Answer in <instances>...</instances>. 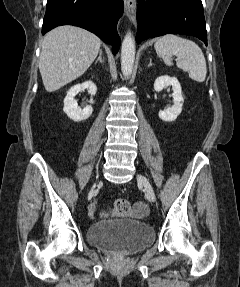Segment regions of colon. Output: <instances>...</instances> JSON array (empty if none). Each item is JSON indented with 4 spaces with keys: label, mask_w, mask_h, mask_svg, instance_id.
<instances>
[{
    "label": "colon",
    "mask_w": 240,
    "mask_h": 287,
    "mask_svg": "<svg viewBox=\"0 0 240 287\" xmlns=\"http://www.w3.org/2000/svg\"><path fill=\"white\" fill-rule=\"evenodd\" d=\"M132 213L135 216H141L143 215L142 212H134L131 210V206L128 200L119 198L116 199L112 206V214L115 216H126L128 214Z\"/></svg>",
    "instance_id": "obj_1"
}]
</instances>
